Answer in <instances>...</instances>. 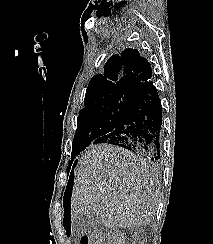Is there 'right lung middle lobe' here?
<instances>
[{
  "instance_id": "right-lung-middle-lobe-1",
  "label": "right lung middle lobe",
  "mask_w": 213,
  "mask_h": 244,
  "mask_svg": "<svg viewBox=\"0 0 213 244\" xmlns=\"http://www.w3.org/2000/svg\"><path fill=\"white\" fill-rule=\"evenodd\" d=\"M135 96L115 94L92 100L79 112L73 139L72 159L94 140L113 131ZM72 161L68 163V170Z\"/></svg>"
}]
</instances>
